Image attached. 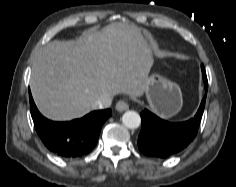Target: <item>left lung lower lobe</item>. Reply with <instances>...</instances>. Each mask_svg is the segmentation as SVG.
Here are the masks:
<instances>
[{
  "label": "left lung lower lobe",
  "instance_id": "obj_1",
  "mask_svg": "<svg viewBox=\"0 0 236 187\" xmlns=\"http://www.w3.org/2000/svg\"><path fill=\"white\" fill-rule=\"evenodd\" d=\"M202 75L205 73L201 65ZM208 84L205 83V95L195 116L188 121L170 123L164 121L145 109L140 113L141 132L138 137L139 150L146 156L167 158L189 145L197 134L203 115Z\"/></svg>",
  "mask_w": 236,
  "mask_h": 187
}]
</instances>
